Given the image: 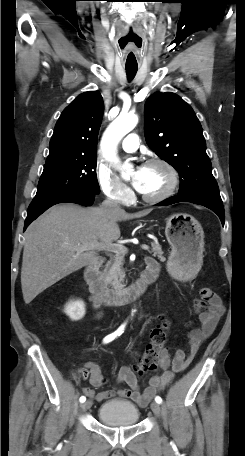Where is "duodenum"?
<instances>
[{
	"label": "duodenum",
	"instance_id": "410a0bca",
	"mask_svg": "<svg viewBox=\"0 0 245 456\" xmlns=\"http://www.w3.org/2000/svg\"><path fill=\"white\" fill-rule=\"evenodd\" d=\"M103 263L102 257L94 258L86 266L84 277L89 285L93 299L99 304L116 305L123 304L141 296L152 284L158 275L159 265L156 261H147V267L139 279L130 287L124 289H110L100 274V266Z\"/></svg>",
	"mask_w": 245,
	"mask_h": 456
}]
</instances>
